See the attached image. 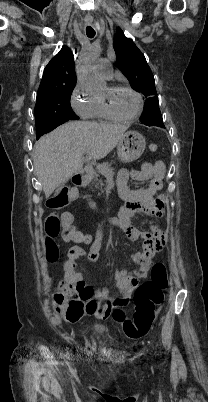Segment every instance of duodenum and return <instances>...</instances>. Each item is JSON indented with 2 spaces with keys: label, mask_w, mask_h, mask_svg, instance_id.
<instances>
[{
  "label": "duodenum",
  "mask_w": 208,
  "mask_h": 402,
  "mask_svg": "<svg viewBox=\"0 0 208 402\" xmlns=\"http://www.w3.org/2000/svg\"><path fill=\"white\" fill-rule=\"evenodd\" d=\"M87 179V173L85 171H79L75 173L72 177L74 185L80 187L83 186Z\"/></svg>",
  "instance_id": "410a0bca"
}]
</instances>
